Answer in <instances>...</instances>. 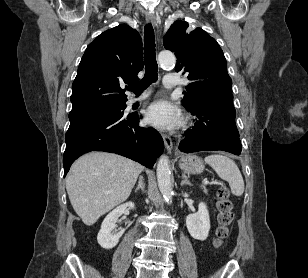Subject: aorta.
I'll list each match as a JSON object with an SVG mask.
<instances>
[{
	"label": "aorta",
	"mask_w": 308,
	"mask_h": 278,
	"mask_svg": "<svg viewBox=\"0 0 308 278\" xmlns=\"http://www.w3.org/2000/svg\"><path fill=\"white\" fill-rule=\"evenodd\" d=\"M158 61L162 66H172L176 63V58L172 52L162 51L158 55ZM156 171L159 190L166 201H171L173 193L170 177L171 171L167 156L162 155L159 158Z\"/></svg>",
	"instance_id": "obj_1"
}]
</instances>
